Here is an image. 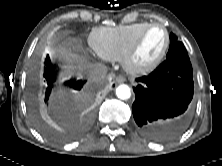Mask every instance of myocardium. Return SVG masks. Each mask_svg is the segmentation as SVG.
<instances>
[{"label": "myocardium", "instance_id": "myocardium-1", "mask_svg": "<svg viewBox=\"0 0 222 166\" xmlns=\"http://www.w3.org/2000/svg\"><path fill=\"white\" fill-rule=\"evenodd\" d=\"M154 27H159L164 30L165 44L161 52L159 53V55L153 61H151L150 63L146 65H137L134 62L135 53L145 33ZM169 45H170V33L168 29L161 23H157V22L148 23L139 31V33L136 35V37L133 39V41L131 42L127 50L125 51L122 57L123 66L128 72L132 74H145V73L151 72L160 65V63L162 62V60L164 59L168 51Z\"/></svg>", "mask_w": 222, "mask_h": 166}]
</instances>
